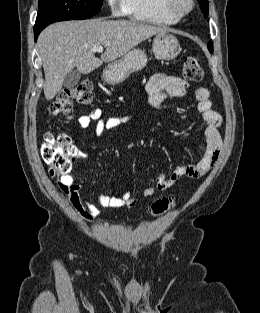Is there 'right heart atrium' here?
Wrapping results in <instances>:
<instances>
[{"label":"right heart atrium","mask_w":260,"mask_h":313,"mask_svg":"<svg viewBox=\"0 0 260 313\" xmlns=\"http://www.w3.org/2000/svg\"><path fill=\"white\" fill-rule=\"evenodd\" d=\"M106 2L114 16H120L125 13L124 0H106Z\"/></svg>","instance_id":"right-heart-atrium-1"}]
</instances>
